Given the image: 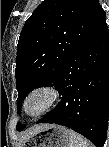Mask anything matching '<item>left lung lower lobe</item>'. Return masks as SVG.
<instances>
[{
	"label": "left lung lower lobe",
	"mask_w": 109,
	"mask_h": 147,
	"mask_svg": "<svg viewBox=\"0 0 109 147\" xmlns=\"http://www.w3.org/2000/svg\"><path fill=\"white\" fill-rule=\"evenodd\" d=\"M56 89L62 95L60 103L37 123L69 127L96 147H103L109 115V30L106 16L70 56Z\"/></svg>",
	"instance_id": "0a47b994"
}]
</instances>
